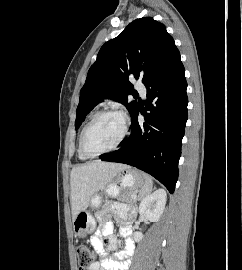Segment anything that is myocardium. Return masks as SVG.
<instances>
[{"instance_id":"1","label":"myocardium","mask_w":242,"mask_h":270,"mask_svg":"<svg viewBox=\"0 0 242 270\" xmlns=\"http://www.w3.org/2000/svg\"><path fill=\"white\" fill-rule=\"evenodd\" d=\"M105 115H118L122 118L123 120V132L121 137L119 138V140L110 148L100 151V152H96V153H92L90 151L87 150L86 145H85V140L87 137V134L89 132V130L92 128V126L103 116ZM129 133V121L127 116L120 110L117 109H104L101 110L99 112H97L92 119L87 123V125L85 126V128L82 131L81 137H80V141H79V149L81 151V153L87 157V158H94V157H98L107 153H110L116 149H118L123 142L125 141L127 135Z\"/></svg>"}]
</instances>
